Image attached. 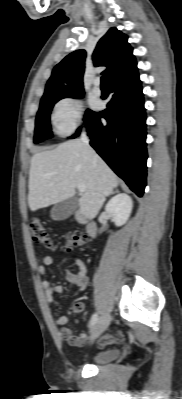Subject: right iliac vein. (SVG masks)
Wrapping results in <instances>:
<instances>
[{
	"label": "right iliac vein",
	"instance_id": "63e3f726",
	"mask_svg": "<svg viewBox=\"0 0 182 399\" xmlns=\"http://www.w3.org/2000/svg\"><path fill=\"white\" fill-rule=\"evenodd\" d=\"M110 314L109 313H104L99 320L97 321L96 325L94 326L91 336H90V341L93 342L98 336H100L106 328L110 324Z\"/></svg>",
	"mask_w": 182,
	"mask_h": 399
}]
</instances>
